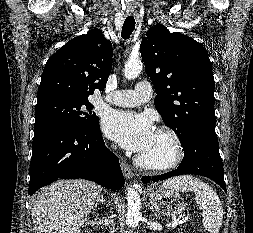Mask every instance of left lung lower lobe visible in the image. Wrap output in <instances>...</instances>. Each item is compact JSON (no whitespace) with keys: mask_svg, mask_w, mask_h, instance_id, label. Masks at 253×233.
Instances as JSON below:
<instances>
[{"mask_svg":"<svg viewBox=\"0 0 253 233\" xmlns=\"http://www.w3.org/2000/svg\"><path fill=\"white\" fill-rule=\"evenodd\" d=\"M181 144L184 157L178 168L158 176H143V183L157 182L183 174H196L214 180L227 192L215 128L199 126Z\"/></svg>","mask_w":253,"mask_h":233,"instance_id":"0a47b994","label":"left lung lower lobe"}]
</instances>
